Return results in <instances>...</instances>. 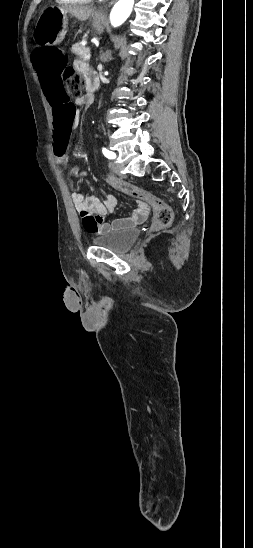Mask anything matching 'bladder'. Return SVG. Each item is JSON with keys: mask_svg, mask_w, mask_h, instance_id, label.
<instances>
[{"mask_svg": "<svg viewBox=\"0 0 253 548\" xmlns=\"http://www.w3.org/2000/svg\"><path fill=\"white\" fill-rule=\"evenodd\" d=\"M140 236L138 228H131L120 231H111L95 236L92 244L108 248L117 253H123L130 249Z\"/></svg>", "mask_w": 253, "mask_h": 548, "instance_id": "bladder-1", "label": "bladder"}]
</instances>
